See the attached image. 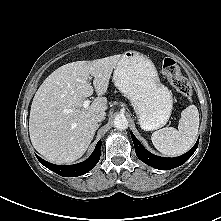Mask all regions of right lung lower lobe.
<instances>
[{
	"mask_svg": "<svg viewBox=\"0 0 221 221\" xmlns=\"http://www.w3.org/2000/svg\"><path fill=\"white\" fill-rule=\"evenodd\" d=\"M100 149H101V141L97 143L93 154L87 160L79 164L70 165V166L54 165L52 163H49L41 159L39 156L37 155L36 156L42 165L52 170L53 172L63 177H76L86 174L98 163L100 159Z\"/></svg>",
	"mask_w": 221,
	"mask_h": 221,
	"instance_id": "right-lung-lower-lobe-1",
	"label": "right lung lower lobe"
}]
</instances>
